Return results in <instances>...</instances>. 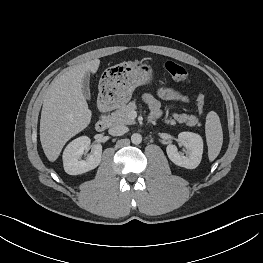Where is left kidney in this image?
Segmentation results:
<instances>
[{
    "mask_svg": "<svg viewBox=\"0 0 263 263\" xmlns=\"http://www.w3.org/2000/svg\"><path fill=\"white\" fill-rule=\"evenodd\" d=\"M178 141L190 150L189 156H184L178 152L175 145L169 144L166 152L169 159L177 166L186 169H195L201 162L203 154L202 137L193 132H181L178 135Z\"/></svg>",
    "mask_w": 263,
    "mask_h": 263,
    "instance_id": "1",
    "label": "left kidney"
}]
</instances>
